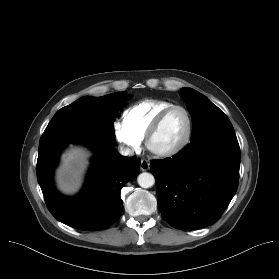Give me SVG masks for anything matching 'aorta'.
<instances>
[{
  "instance_id": "762f6f07",
  "label": "aorta",
  "mask_w": 279,
  "mask_h": 279,
  "mask_svg": "<svg viewBox=\"0 0 279 279\" xmlns=\"http://www.w3.org/2000/svg\"><path fill=\"white\" fill-rule=\"evenodd\" d=\"M137 182L142 188H150L155 184V178L151 173L143 172L138 176Z\"/></svg>"
}]
</instances>
